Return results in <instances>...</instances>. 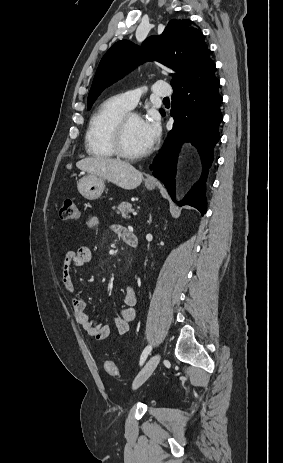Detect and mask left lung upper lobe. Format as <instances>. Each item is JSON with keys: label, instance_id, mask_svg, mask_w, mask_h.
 <instances>
[{"label": "left lung upper lobe", "instance_id": "1", "mask_svg": "<svg viewBox=\"0 0 283 463\" xmlns=\"http://www.w3.org/2000/svg\"><path fill=\"white\" fill-rule=\"evenodd\" d=\"M190 25V20L173 19L161 35L147 38L142 47L128 40L116 42L97 68L87 99L88 109L106 87L145 60H155L177 71L171 80L172 87L211 61L204 35ZM160 112L164 114L162 109Z\"/></svg>", "mask_w": 283, "mask_h": 463}]
</instances>
